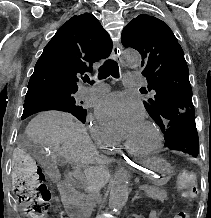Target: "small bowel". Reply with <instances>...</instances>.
<instances>
[{
    "label": "small bowel",
    "instance_id": "obj_1",
    "mask_svg": "<svg viewBox=\"0 0 211 218\" xmlns=\"http://www.w3.org/2000/svg\"><path fill=\"white\" fill-rule=\"evenodd\" d=\"M148 218H160V212L158 210H152L149 213Z\"/></svg>",
    "mask_w": 211,
    "mask_h": 218
}]
</instances>
